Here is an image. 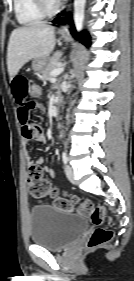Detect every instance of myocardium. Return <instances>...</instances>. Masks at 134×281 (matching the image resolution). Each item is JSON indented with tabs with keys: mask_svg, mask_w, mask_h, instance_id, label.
Segmentation results:
<instances>
[{
	"mask_svg": "<svg viewBox=\"0 0 134 281\" xmlns=\"http://www.w3.org/2000/svg\"><path fill=\"white\" fill-rule=\"evenodd\" d=\"M35 2L38 9L47 16L55 14L60 8V3L57 1L50 3L48 0H35Z\"/></svg>",
	"mask_w": 134,
	"mask_h": 281,
	"instance_id": "f54148a6",
	"label": "myocardium"
}]
</instances>
